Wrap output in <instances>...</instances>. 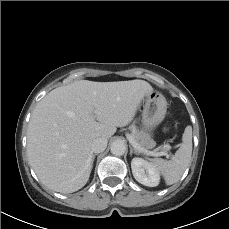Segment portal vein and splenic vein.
Wrapping results in <instances>:
<instances>
[{"label":"portal vein and splenic vein","mask_w":229,"mask_h":229,"mask_svg":"<svg viewBox=\"0 0 229 229\" xmlns=\"http://www.w3.org/2000/svg\"><path fill=\"white\" fill-rule=\"evenodd\" d=\"M127 139L129 140L130 144L139 152H144L147 155L150 156H166L167 158L169 157V154L165 151L157 152V151H147L143 149L134 139L130 134H127Z\"/></svg>","instance_id":"18ae733b"}]
</instances>
